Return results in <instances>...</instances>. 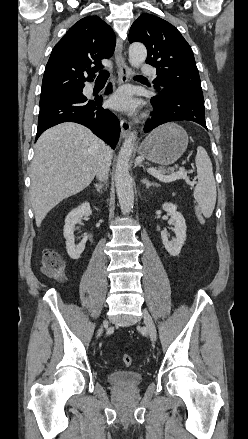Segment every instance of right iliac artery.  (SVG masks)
<instances>
[{
	"label": "right iliac artery",
	"instance_id": "obj_1",
	"mask_svg": "<svg viewBox=\"0 0 248 439\" xmlns=\"http://www.w3.org/2000/svg\"><path fill=\"white\" fill-rule=\"evenodd\" d=\"M102 328H103V327L100 325V326L96 329L95 334H96L97 336H100V335L102 334V331H101Z\"/></svg>",
	"mask_w": 248,
	"mask_h": 439
}]
</instances>
